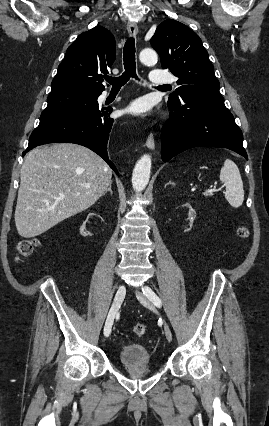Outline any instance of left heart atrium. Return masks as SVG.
I'll list each match as a JSON object with an SVG mask.
<instances>
[{
	"label": "left heart atrium",
	"instance_id": "obj_1",
	"mask_svg": "<svg viewBox=\"0 0 269 426\" xmlns=\"http://www.w3.org/2000/svg\"><path fill=\"white\" fill-rule=\"evenodd\" d=\"M151 109L150 103L146 99H138L131 103L128 108V112L133 115H144Z\"/></svg>",
	"mask_w": 269,
	"mask_h": 426
}]
</instances>
